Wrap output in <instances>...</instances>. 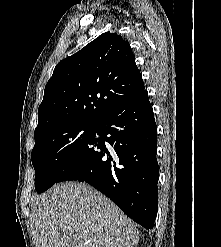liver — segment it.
Returning a JSON list of instances; mask_svg holds the SVG:
<instances>
[{"label":"liver","instance_id":"liver-1","mask_svg":"<svg viewBox=\"0 0 221 247\" xmlns=\"http://www.w3.org/2000/svg\"><path fill=\"white\" fill-rule=\"evenodd\" d=\"M36 247H128L139 242L132 221L94 188L79 182L54 185L32 211Z\"/></svg>","mask_w":221,"mask_h":247}]
</instances>
